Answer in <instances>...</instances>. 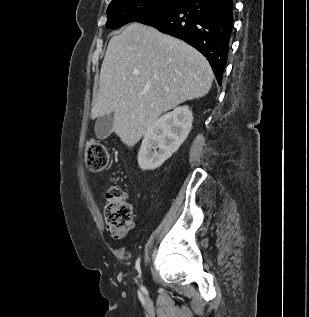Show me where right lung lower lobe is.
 I'll use <instances>...</instances> for the list:
<instances>
[{
  "label": "right lung lower lobe",
  "mask_w": 309,
  "mask_h": 317,
  "mask_svg": "<svg viewBox=\"0 0 309 317\" xmlns=\"http://www.w3.org/2000/svg\"><path fill=\"white\" fill-rule=\"evenodd\" d=\"M233 0H185L136 18L195 47L221 85L233 29Z\"/></svg>",
  "instance_id": "98d812e1"
}]
</instances>
